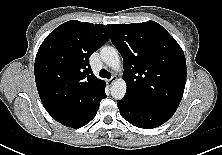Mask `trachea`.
Wrapping results in <instances>:
<instances>
[{"label":"trachea","mask_w":222,"mask_h":155,"mask_svg":"<svg viewBox=\"0 0 222 155\" xmlns=\"http://www.w3.org/2000/svg\"><path fill=\"white\" fill-rule=\"evenodd\" d=\"M99 75L102 78H107V79L111 78V73L108 72L106 69H101L100 72H99Z\"/></svg>","instance_id":"3493384b"}]
</instances>
